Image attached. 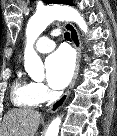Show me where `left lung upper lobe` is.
<instances>
[{
    "mask_svg": "<svg viewBox=\"0 0 117 136\" xmlns=\"http://www.w3.org/2000/svg\"><path fill=\"white\" fill-rule=\"evenodd\" d=\"M44 3H59V4H69V5H73V2L72 0H58V1H55V0H43Z\"/></svg>",
    "mask_w": 117,
    "mask_h": 136,
    "instance_id": "1",
    "label": "left lung upper lobe"
}]
</instances>
